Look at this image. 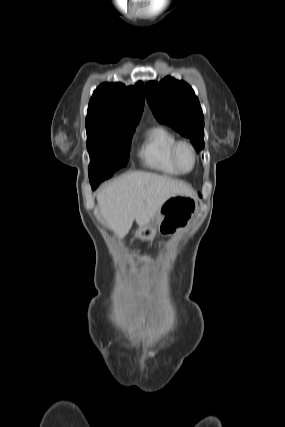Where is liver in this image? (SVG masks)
Instances as JSON below:
<instances>
[{"label":"liver","mask_w":285,"mask_h":427,"mask_svg":"<svg viewBox=\"0 0 285 427\" xmlns=\"http://www.w3.org/2000/svg\"><path fill=\"white\" fill-rule=\"evenodd\" d=\"M194 197L187 184L149 172L125 174L104 186L97 194L100 214L119 238L132 228L134 220L140 228L153 220L162 205L171 197Z\"/></svg>","instance_id":"liver-1"}]
</instances>
